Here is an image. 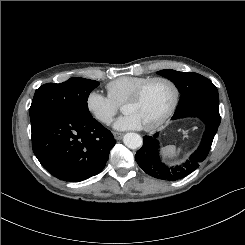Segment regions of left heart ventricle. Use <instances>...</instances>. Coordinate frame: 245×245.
<instances>
[{
    "mask_svg": "<svg viewBox=\"0 0 245 245\" xmlns=\"http://www.w3.org/2000/svg\"><path fill=\"white\" fill-rule=\"evenodd\" d=\"M172 100V88L164 82H154L146 87L138 101L125 104L123 112L137 116L144 127L158 121L168 111Z\"/></svg>",
    "mask_w": 245,
    "mask_h": 245,
    "instance_id": "obj_1",
    "label": "left heart ventricle"
}]
</instances>
